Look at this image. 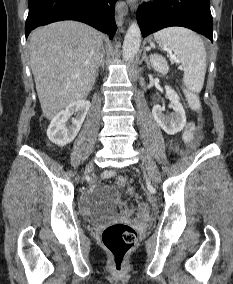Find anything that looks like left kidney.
Here are the masks:
<instances>
[{
	"label": "left kidney",
	"instance_id": "obj_1",
	"mask_svg": "<svg viewBox=\"0 0 233 284\" xmlns=\"http://www.w3.org/2000/svg\"><path fill=\"white\" fill-rule=\"evenodd\" d=\"M166 95L168 96L173 113L170 116L163 114V108L156 104L152 109V114L157 124L169 135L180 132L186 124L185 110L180 103L178 94L169 86H165Z\"/></svg>",
	"mask_w": 233,
	"mask_h": 284
}]
</instances>
